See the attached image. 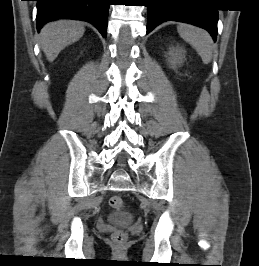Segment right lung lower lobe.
<instances>
[{
  "instance_id": "1",
  "label": "right lung lower lobe",
  "mask_w": 259,
  "mask_h": 266,
  "mask_svg": "<svg viewBox=\"0 0 259 266\" xmlns=\"http://www.w3.org/2000/svg\"><path fill=\"white\" fill-rule=\"evenodd\" d=\"M37 30L58 18L78 19L93 24L103 37L107 34L110 0H36Z\"/></svg>"
}]
</instances>
